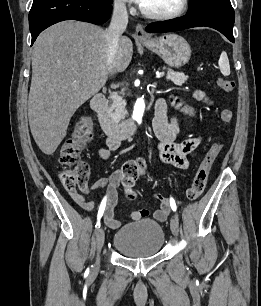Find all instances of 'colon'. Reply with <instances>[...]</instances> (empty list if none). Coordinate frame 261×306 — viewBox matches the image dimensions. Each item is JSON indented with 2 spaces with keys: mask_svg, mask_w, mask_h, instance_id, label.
Returning a JSON list of instances; mask_svg holds the SVG:
<instances>
[{
  "mask_svg": "<svg viewBox=\"0 0 261 306\" xmlns=\"http://www.w3.org/2000/svg\"><path fill=\"white\" fill-rule=\"evenodd\" d=\"M218 86L226 91L231 92L235 88V82L231 79H219ZM221 120L229 125L232 120V112L229 109H223L220 113ZM93 129L87 119H81L76 125L75 132L71 137L65 140L61 147L59 162L63 167L60 172V180L67 189L79 187L84 189L87 186L89 177L88 166L80 161V156L91 141ZM223 150L222 143L213 144L203 158L194 180L187 190V198L196 200L205 190L210 169L215 158ZM146 163L143 159H135L126 162L119 171V181L124 187L129 199L135 198L134 186L137 180L144 175Z\"/></svg>",
  "mask_w": 261,
  "mask_h": 306,
  "instance_id": "colon-1",
  "label": "colon"
}]
</instances>
